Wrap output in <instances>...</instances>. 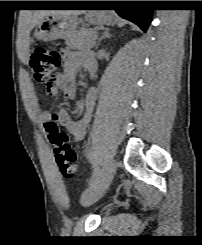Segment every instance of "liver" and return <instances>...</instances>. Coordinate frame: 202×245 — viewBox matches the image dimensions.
<instances>
[{"label": "liver", "instance_id": "liver-1", "mask_svg": "<svg viewBox=\"0 0 202 245\" xmlns=\"http://www.w3.org/2000/svg\"><path fill=\"white\" fill-rule=\"evenodd\" d=\"M85 12V10H37L33 15L32 26H36L47 15L78 16Z\"/></svg>", "mask_w": 202, "mask_h": 245}]
</instances>
